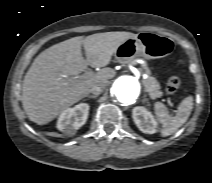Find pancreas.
<instances>
[{
	"mask_svg": "<svg viewBox=\"0 0 212 183\" xmlns=\"http://www.w3.org/2000/svg\"><path fill=\"white\" fill-rule=\"evenodd\" d=\"M144 69L145 72L149 75L150 70L146 66H144ZM142 83L145 87V91L148 92V95L151 99H156L162 96V92L159 91L160 85L154 77L148 76V78L142 80Z\"/></svg>",
	"mask_w": 212,
	"mask_h": 183,
	"instance_id": "pancreas-1",
	"label": "pancreas"
}]
</instances>
